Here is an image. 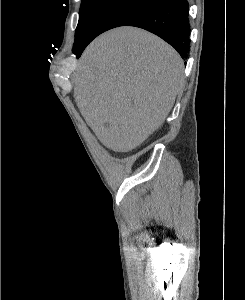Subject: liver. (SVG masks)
Returning a JSON list of instances; mask_svg holds the SVG:
<instances>
[{
	"label": "liver",
	"mask_w": 245,
	"mask_h": 300,
	"mask_svg": "<svg viewBox=\"0 0 245 300\" xmlns=\"http://www.w3.org/2000/svg\"><path fill=\"white\" fill-rule=\"evenodd\" d=\"M79 111L98 139L129 152L157 130L184 83V63L162 39L118 27L93 40L74 73Z\"/></svg>",
	"instance_id": "obj_1"
}]
</instances>
